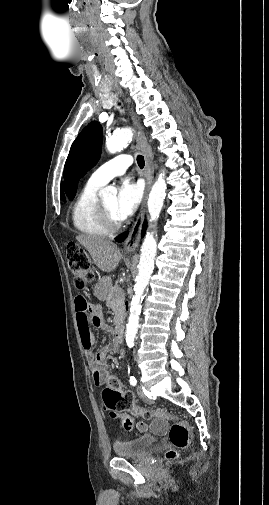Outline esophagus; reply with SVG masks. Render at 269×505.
<instances>
[{
    "mask_svg": "<svg viewBox=\"0 0 269 505\" xmlns=\"http://www.w3.org/2000/svg\"><path fill=\"white\" fill-rule=\"evenodd\" d=\"M118 93L120 96L124 98V101L127 104V109L129 112V115L131 117V120L133 122V125L137 129L136 133V143L138 149L143 153L144 158H145V181H146V186H145V191H144V196L141 204V209L139 211V214L137 216L136 221L132 225L129 235L124 243V251L125 252H134L139 244L140 241V236H141V229H142V224L144 221V216L146 212V203L148 199V194L151 189L152 183H153V178H154V165H153V158L151 156V153L149 151V147L147 144L146 137L144 135V132L142 130V127L140 125V122L136 118V116L133 113L132 108L130 107L129 101L124 97L123 93L121 90H118Z\"/></svg>",
    "mask_w": 269,
    "mask_h": 505,
    "instance_id": "esophagus-1",
    "label": "esophagus"
}]
</instances>
